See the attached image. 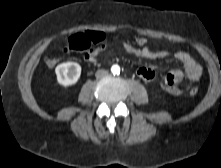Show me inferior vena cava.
Returning <instances> with one entry per match:
<instances>
[{
  "instance_id": "inferior-vena-cava-1",
  "label": "inferior vena cava",
  "mask_w": 221,
  "mask_h": 168,
  "mask_svg": "<svg viewBox=\"0 0 221 168\" xmlns=\"http://www.w3.org/2000/svg\"><path fill=\"white\" fill-rule=\"evenodd\" d=\"M107 75H108V71L103 70V69L98 70L95 74L96 78H98V79L106 77Z\"/></svg>"
}]
</instances>
